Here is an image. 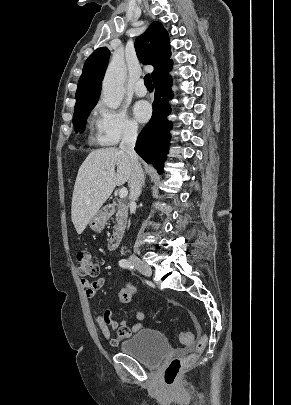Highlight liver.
<instances>
[{"label":"liver","instance_id":"obj_1","mask_svg":"<svg viewBox=\"0 0 291 405\" xmlns=\"http://www.w3.org/2000/svg\"><path fill=\"white\" fill-rule=\"evenodd\" d=\"M117 167V172H115ZM131 162L118 148L92 151L79 168L71 205V219L81 234L117 185L129 181Z\"/></svg>","mask_w":291,"mask_h":405}]
</instances>
